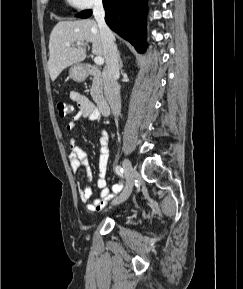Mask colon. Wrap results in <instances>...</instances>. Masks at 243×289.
I'll return each instance as SVG.
<instances>
[{
	"label": "colon",
	"instance_id": "5ec220e1",
	"mask_svg": "<svg viewBox=\"0 0 243 289\" xmlns=\"http://www.w3.org/2000/svg\"><path fill=\"white\" fill-rule=\"evenodd\" d=\"M73 110H74L73 106L67 102H59L57 104L58 115L61 118H66L67 116L72 114Z\"/></svg>",
	"mask_w": 243,
	"mask_h": 289
}]
</instances>
